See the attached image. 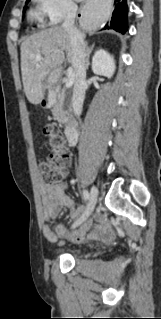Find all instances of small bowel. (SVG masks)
<instances>
[{
	"instance_id": "c3829d8e",
	"label": "small bowel",
	"mask_w": 161,
	"mask_h": 319,
	"mask_svg": "<svg viewBox=\"0 0 161 319\" xmlns=\"http://www.w3.org/2000/svg\"><path fill=\"white\" fill-rule=\"evenodd\" d=\"M67 183L58 182L56 184H46L42 188V206L43 213L46 219H53L57 216V206L62 205L68 208L69 214L72 217L85 213L84 207L76 208L73 200L67 195ZM98 224L91 229L90 236L97 238L100 236L110 237L113 234V229L110 223L102 214L97 216ZM85 221V220H84ZM92 220L88 219L82 227L74 232H68L64 225L59 224L55 232L51 230L49 225L43 226V234L50 241H56L58 237L67 236L73 242H81L84 239L85 233L91 228Z\"/></svg>"
}]
</instances>
